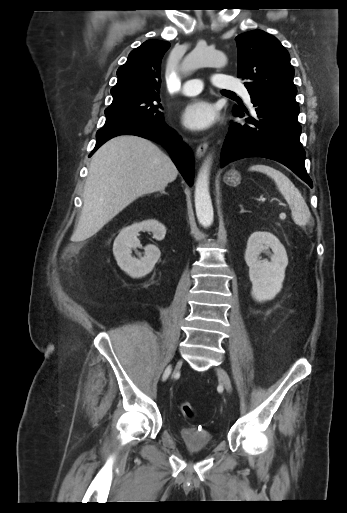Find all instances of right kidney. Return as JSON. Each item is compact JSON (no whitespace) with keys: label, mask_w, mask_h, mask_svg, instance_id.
Returning a JSON list of instances; mask_svg holds the SVG:
<instances>
[{"label":"right kidney","mask_w":347,"mask_h":513,"mask_svg":"<svg viewBox=\"0 0 347 513\" xmlns=\"http://www.w3.org/2000/svg\"><path fill=\"white\" fill-rule=\"evenodd\" d=\"M140 231H150L153 237L161 241L166 234V228L157 220H145L134 223L121 230L113 244V254L118 266L133 278L144 277L150 273L160 257V250L152 244L144 248V256L139 259L132 256L131 249L140 247L137 238Z\"/></svg>","instance_id":"obj_1"}]
</instances>
